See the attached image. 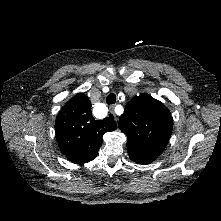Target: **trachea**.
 Here are the masks:
<instances>
[{"mask_svg": "<svg viewBox=\"0 0 221 221\" xmlns=\"http://www.w3.org/2000/svg\"><path fill=\"white\" fill-rule=\"evenodd\" d=\"M116 102V94L110 93L106 98V103L108 105L114 104Z\"/></svg>", "mask_w": 221, "mask_h": 221, "instance_id": "obj_1", "label": "trachea"}]
</instances>
